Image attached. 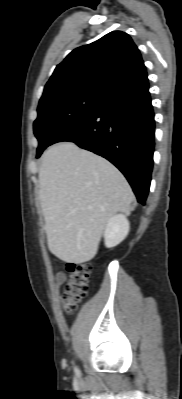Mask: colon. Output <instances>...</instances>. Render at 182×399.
I'll use <instances>...</instances> for the list:
<instances>
[{"mask_svg": "<svg viewBox=\"0 0 182 399\" xmlns=\"http://www.w3.org/2000/svg\"><path fill=\"white\" fill-rule=\"evenodd\" d=\"M67 271L69 281L63 294L62 308L64 313L71 314L87 294L91 266L85 262H69Z\"/></svg>", "mask_w": 182, "mask_h": 399, "instance_id": "5ec220e1", "label": "colon"}]
</instances>
